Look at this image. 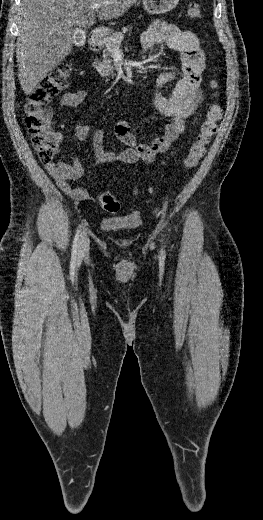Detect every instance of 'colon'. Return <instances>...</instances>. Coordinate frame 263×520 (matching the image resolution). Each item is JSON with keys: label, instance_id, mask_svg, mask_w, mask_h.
<instances>
[{"label": "colon", "instance_id": "5ec220e1", "mask_svg": "<svg viewBox=\"0 0 263 520\" xmlns=\"http://www.w3.org/2000/svg\"><path fill=\"white\" fill-rule=\"evenodd\" d=\"M186 15L190 20H199L201 18L200 7L196 3H191L187 8ZM70 73L71 67L68 64L63 63L55 67L29 94L24 106L25 126L39 159L44 163L51 162L59 148V141L50 129L51 110L49 103L60 91L66 88ZM210 86L212 96L216 100L208 105L196 139L183 161L184 166L188 169L194 168L203 157L222 117V107L217 100L218 82L214 80ZM99 201L102 208L107 212L116 213L120 210V201L109 193L101 194Z\"/></svg>", "mask_w": 263, "mask_h": 520}]
</instances>
